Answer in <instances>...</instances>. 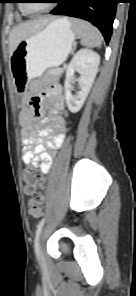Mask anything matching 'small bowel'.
Returning a JSON list of instances; mask_svg holds the SVG:
<instances>
[{"label": "small bowel", "mask_w": 136, "mask_h": 296, "mask_svg": "<svg viewBox=\"0 0 136 296\" xmlns=\"http://www.w3.org/2000/svg\"><path fill=\"white\" fill-rule=\"evenodd\" d=\"M24 107L19 115L22 128L24 164L46 174L50 171L53 156L65 137L64 97L59 85H51L37 97L25 95ZM48 115L44 116V111Z\"/></svg>", "instance_id": "small-bowel-1"}]
</instances>
